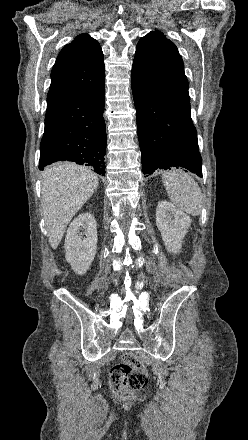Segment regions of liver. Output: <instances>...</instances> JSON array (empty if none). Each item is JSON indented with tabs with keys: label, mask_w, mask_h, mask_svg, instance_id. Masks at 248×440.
I'll return each instance as SVG.
<instances>
[{
	"label": "liver",
	"mask_w": 248,
	"mask_h": 440,
	"mask_svg": "<svg viewBox=\"0 0 248 440\" xmlns=\"http://www.w3.org/2000/svg\"><path fill=\"white\" fill-rule=\"evenodd\" d=\"M98 177L76 163H56L42 174V211L53 249L59 245L67 225L98 187Z\"/></svg>",
	"instance_id": "1"
}]
</instances>
